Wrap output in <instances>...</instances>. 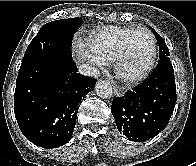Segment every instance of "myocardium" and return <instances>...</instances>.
Listing matches in <instances>:
<instances>
[{
    "mask_svg": "<svg viewBox=\"0 0 196 166\" xmlns=\"http://www.w3.org/2000/svg\"><path fill=\"white\" fill-rule=\"evenodd\" d=\"M137 32H144L150 38V42H151L150 59H149L147 65L138 73L133 74V75H124L122 73V69H121L122 62L128 53L129 42H130L132 36ZM156 59H157V43H156V39H155L153 33L145 27H137V28H134L133 30H131L127 34V36L125 37V39L122 43L121 49L114 59V71H115L116 76L121 81H124L127 83H135V82L141 81L142 79H144L145 77H147L149 75V73L153 70V68L156 64Z\"/></svg>",
    "mask_w": 196,
    "mask_h": 166,
    "instance_id": "f54148a6",
    "label": "myocardium"
}]
</instances>
